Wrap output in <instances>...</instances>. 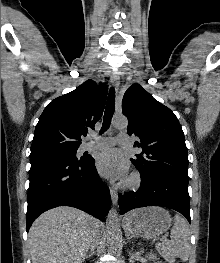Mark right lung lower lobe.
I'll return each instance as SVG.
<instances>
[{
    "label": "right lung lower lobe",
    "mask_w": 220,
    "mask_h": 263,
    "mask_svg": "<svg viewBox=\"0 0 220 263\" xmlns=\"http://www.w3.org/2000/svg\"><path fill=\"white\" fill-rule=\"evenodd\" d=\"M30 162L27 232L40 214L57 206H72L104 221L111 197L92 157L74 161L51 152H35Z\"/></svg>",
    "instance_id": "1"
}]
</instances>
